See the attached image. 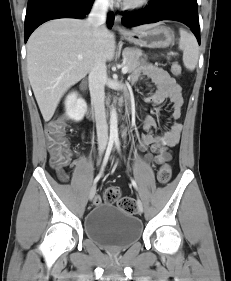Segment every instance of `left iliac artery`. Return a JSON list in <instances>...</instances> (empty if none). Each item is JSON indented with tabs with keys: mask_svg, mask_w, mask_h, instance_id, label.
Listing matches in <instances>:
<instances>
[{
	"mask_svg": "<svg viewBox=\"0 0 231 281\" xmlns=\"http://www.w3.org/2000/svg\"><path fill=\"white\" fill-rule=\"evenodd\" d=\"M115 145H116L117 150L120 152L121 149H120V142H119L118 138H115ZM131 181H132V185L134 186V188L138 189L136 181L134 179H131Z\"/></svg>",
	"mask_w": 231,
	"mask_h": 281,
	"instance_id": "44dca946",
	"label": "left iliac artery"
}]
</instances>
